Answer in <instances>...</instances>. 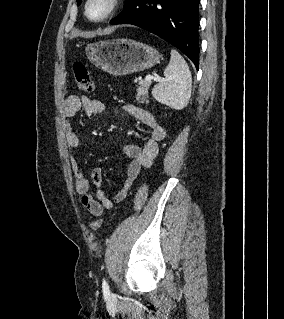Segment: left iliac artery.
Returning a JSON list of instances; mask_svg holds the SVG:
<instances>
[{
  "label": "left iliac artery",
  "mask_w": 284,
  "mask_h": 319,
  "mask_svg": "<svg viewBox=\"0 0 284 319\" xmlns=\"http://www.w3.org/2000/svg\"><path fill=\"white\" fill-rule=\"evenodd\" d=\"M102 288H103L104 293H107V294L109 293V286H108V283L106 282L105 279H103Z\"/></svg>",
  "instance_id": "left-iliac-artery-1"
}]
</instances>
